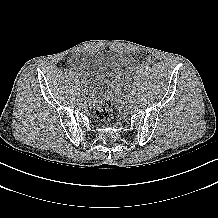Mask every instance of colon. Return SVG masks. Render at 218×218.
<instances>
[{"mask_svg":"<svg viewBox=\"0 0 218 218\" xmlns=\"http://www.w3.org/2000/svg\"><path fill=\"white\" fill-rule=\"evenodd\" d=\"M134 60L139 64H151L153 62V57L146 51H139L134 54ZM96 116L102 122H108L113 118V108L109 100L97 104Z\"/></svg>","mask_w":218,"mask_h":218,"instance_id":"colon-1","label":"colon"}]
</instances>
